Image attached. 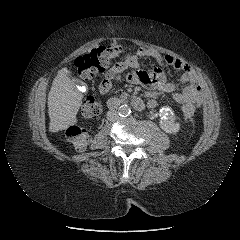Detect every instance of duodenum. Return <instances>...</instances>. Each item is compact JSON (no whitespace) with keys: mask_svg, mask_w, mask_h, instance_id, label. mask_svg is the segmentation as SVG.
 <instances>
[{"mask_svg":"<svg viewBox=\"0 0 240 240\" xmlns=\"http://www.w3.org/2000/svg\"><path fill=\"white\" fill-rule=\"evenodd\" d=\"M125 102H129L135 109L137 110H144L147 107V104L139 97L133 96L129 99H123V98H112L108 101V108L109 109H115L121 105H123Z\"/></svg>","mask_w":240,"mask_h":240,"instance_id":"obj_1","label":"duodenum"}]
</instances>
